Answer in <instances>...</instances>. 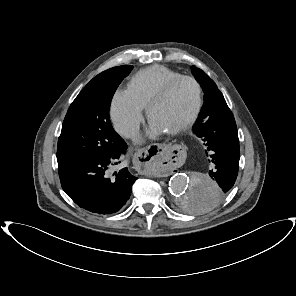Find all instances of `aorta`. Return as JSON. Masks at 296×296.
<instances>
[{"mask_svg": "<svg viewBox=\"0 0 296 296\" xmlns=\"http://www.w3.org/2000/svg\"><path fill=\"white\" fill-rule=\"evenodd\" d=\"M169 191L178 207L193 214L209 212L219 199L218 184L204 173L175 174L169 181Z\"/></svg>", "mask_w": 296, "mask_h": 296, "instance_id": "obj_1", "label": "aorta"}]
</instances>
